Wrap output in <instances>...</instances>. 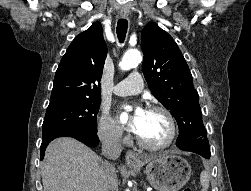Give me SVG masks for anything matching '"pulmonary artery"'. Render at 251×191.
<instances>
[{
	"label": "pulmonary artery",
	"instance_id": "e3ab8cb5",
	"mask_svg": "<svg viewBox=\"0 0 251 191\" xmlns=\"http://www.w3.org/2000/svg\"><path fill=\"white\" fill-rule=\"evenodd\" d=\"M144 88V80L142 75L137 72H131L127 78L116 84L112 91L116 95L126 96L131 94H138Z\"/></svg>",
	"mask_w": 251,
	"mask_h": 191
}]
</instances>
